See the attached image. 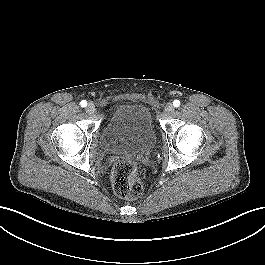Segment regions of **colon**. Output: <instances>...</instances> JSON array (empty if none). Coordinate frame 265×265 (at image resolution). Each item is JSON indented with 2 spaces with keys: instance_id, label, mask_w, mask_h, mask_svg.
I'll return each mask as SVG.
<instances>
[{
  "instance_id": "1",
  "label": "colon",
  "mask_w": 265,
  "mask_h": 265,
  "mask_svg": "<svg viewBox=\"0 0 265 265\" xmlns=\"http://www.w3.org/2000/svg\"><path fill=\"white\" fill-rule=\"evenodd\" d=\"M114 193L123 199H135L143 192V183L137 164L130 159L117 161L111 171Z\"/></svg>"
}]
</instances>
